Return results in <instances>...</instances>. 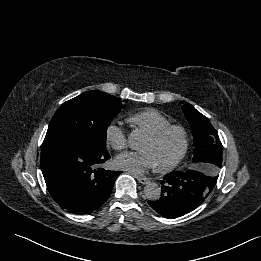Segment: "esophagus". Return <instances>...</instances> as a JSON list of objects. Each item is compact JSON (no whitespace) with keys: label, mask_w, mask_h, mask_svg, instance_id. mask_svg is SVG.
<instances>
[{"label":"esophagus","mask_w":261,"mask_h":261,"mask_svg":"<svg viewBox=\"0 0 261 261\" xmlns=\"http://www.w3.org/2000/svg\"><path fill=\"white\" fill-rule=\"evenodd\" d=\"M135 177L141 184H148L150 182V180L146 177H142V176H135Z\"/></svg>","instance_id":"esophagus-1"}]
</instances>
